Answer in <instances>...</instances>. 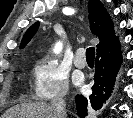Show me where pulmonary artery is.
I'll use <instances>...</instances> for the list:
<instances>
[{
  "label": "pulmonary artery",
  "mask_w": 133,
  "mask_h": 118,
  "mask_svg": "<svg viewBox=\"0 0 133 118\" xmlns=\"http://www.w3.org/2000/svg\"><path fill=\"white\" fill-rule=\"evenodd\" d=\"M84 55H85V50L83 48H80L76 51V54L74 57V64L76 67L84 68L86 66Z\"/></svg>",
  "instance_id": "obj_1"
}]
</instances>
